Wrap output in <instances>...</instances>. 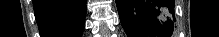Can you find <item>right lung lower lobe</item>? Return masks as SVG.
I'll list each match as a JSON object with an SVG mask.
<instances>
[{"label": "right lung lower lobe", "mask_w": 219, "mask_h": 37, "mask_svg": "<svg viewBox=\"0 0 219 37\" xmlns=\"http://www.w3.org/2000/svg\"><path fill=\"white\" fill-rule=\"evenodd\" d=\"M42 37H80L86 14L85 0H34Z\"/></svg>", "instance_id": "98d812e1"}]
</instances>
